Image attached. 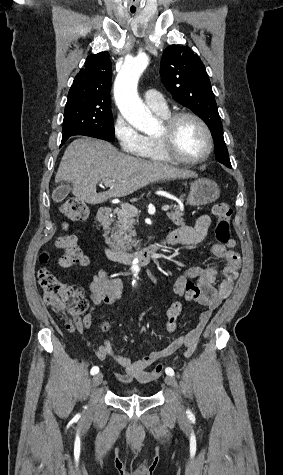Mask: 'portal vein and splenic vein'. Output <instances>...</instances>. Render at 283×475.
<instances>
[{
    "label": "portal vein and splenic vein",
    "instance_id": "obj_1",
    "mask_svg": "<svg viewBox=\"0 0 283 475\" xmlns=\"http://www.w3.org/2000/svg\"><path fill=\"white\" fill-rule=\"evenodd\" d=\"M102 184H104V186H107V188H112V186H114L115 184V180H109V178H106V180H103ZM127 206H129V204H127ZM126 204L125 206H122V210H124V208H127ZM170 206H162V210H164V212H167V210H169ZM132 212H134V214H137L138 210H136V208H131Z\"/></svg>",
    "mask_w": 283,
    "mask_h": 475
}]
</instances>
